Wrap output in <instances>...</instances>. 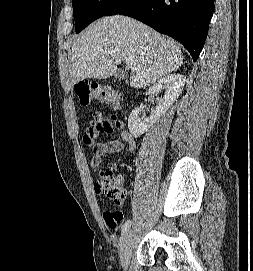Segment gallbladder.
Returning a JSON list of instances; mask_svg holds the SVG:
<instances>
[{
    "label": "gallbladder",
    "instance_id": "bac80fb5",
    "mask_svg": "<svg viewBox=\"0 0 253 271\" xmlns=\"http://www.w3.org/2000/svg\"><path fill=\"white\" fill-rule=\"evenodd\" d=\"M127 78V71L123 69H119L115 75H114V80L115 81H121Z\"/></svg>",
    "mask_w": 253,
    "mask_h": 271
}]
</instances>
